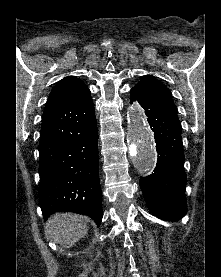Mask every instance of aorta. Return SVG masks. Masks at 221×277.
<instances>
[{"label": "aorta", "mask_w": 221, "mask_h": 277, "mask_svg": "<svg viewBox=\"0 0 221 277\" xmlns=\"http://www.w3.org/2000/svg\"><path fill=\"white\" fill-rule=\"evenodd\" d=\"M127 119L126 139L133 163L139 172H151L156 165V148L152 131L139 105L129 107Z\"/></svg>", "instance_id": "1"}]
</instances>
